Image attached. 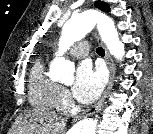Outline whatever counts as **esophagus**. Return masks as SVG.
Instances as JSON below:
<instances>
[{"instance_id": "obj_1", "label": "esophagus", "mask_w": 153, "mask_h": 134, "mask_svg": "<svg viewBox=\"0 0 153 134\" xmlns=\"http://www.w3.org/2000/svg\"><path fill=\"white\" fill-rule=\"evenodd\" d=\"M95 38H96L97 42L100 43L105 49V59H106V63H107L108 69H109V81H108L107 87H106L102 97L100 98V100L93 107L89 108L86 112L82 113L77 118L82 117V116L93 115L95 112L100 110V108L102 107L103 102L106 98V95L108 94L110 88L113 85V80H114V76H115V68H114L113 61H112L110 54L108 53L106 47L104 46L102 40L100 39V37L97 33H95Z\"/></svg>"}]
</instances>
